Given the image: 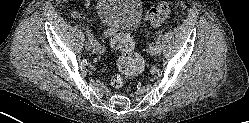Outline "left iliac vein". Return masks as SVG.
<instances>
[{"label": "left iliac vein", "instance_id": "1", "mask_svg": "<svg viewBox=\"0 0 249 123\" xmlns=\"http://www.w3.org/2000/svg\"><path fill=\"white\" fill-rule=\"evenodd\" d=\"M149 52H150V54L152 55V56H155V55H157L158 53V48H157V45H156V43H152L151 45H150V47H149Z\"/></svg>", "mask_w": 249, "mask_h": 123}]
</instances>
